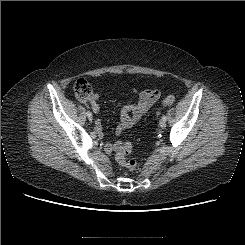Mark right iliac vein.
I'll return each mask as SVG.
<instances>
[{
	"mask_svg": "<svg viewBox=\"0 0 245 245\" xmlns=\"http://www.w3.org/2000/svg\"><path fill=\"white\" fill-rule=\"evenodd\" d=\"M88 119H89L90 121H92V120H93L92 115L88 116Z\"/></svg>",
	"mask_w": 245,
	"mask_h": 245,
	"instance_id": "1",
	"label": "right iliac vein"
}]
</instances>
